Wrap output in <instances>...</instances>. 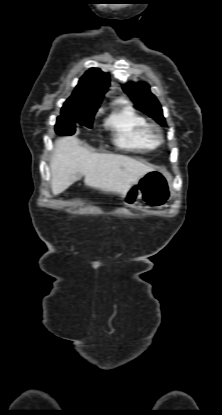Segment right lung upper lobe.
I'll return each instance as SVG.
<instances>
[{
  "mask_svg": "<svg viewBox=\"0 0 222 415\" xmlns=\"http://www.w3.org/2000/svg\"><path fill=\"white\" fill-rule=\"evenodd\" d=\"M109 75L99 68L89 69L79 80L72 95L62 109L71 107L99 108L104 93L109 86Z\"/></svg>",
  "mask_w": 222,
  "mask_h": 415,
  "instance_id": "obj_1",
  "label": "right lung upper lobe"
}]
</instances>
